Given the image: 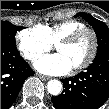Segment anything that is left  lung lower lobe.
Returning <instances> with one entry per match:
<instances>
[{
    "label": "left lung lower lobe",
    "instance_id": "0a47b994",
    "mask_svg": "<svg viewBox=\"0 0 109 109\" xmlns=\"http://www.w3.org/2000/svg\"><path fill=\"white\" fill-rule=\"evenodd\" d=\"M64 90L52 97L56 109H98L109 98V51L96 55L85 72L61 79ZM77 91V96L70 92Z\"/></svg>",
    "mask_w": 109,
    "mask_h": 109
}]
</instances>
